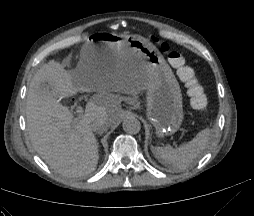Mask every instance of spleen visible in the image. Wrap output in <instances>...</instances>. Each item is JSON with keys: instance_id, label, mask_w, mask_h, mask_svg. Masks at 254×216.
<instances>
[{"instance_id": "3e777b00", "label": "spleen", "mask_w": 254, "mask_h": 216, "mask_svg": "<svg viewBox=\"0 0 254 216\" xmlns=\"http://www.w3.org/2000/svg\"><path fill=\"white\" fill-rule=\"evenodd\" d=\"M210 137L211 130L204 129L200 131L191 141L184 143L180 147H156L153 149V153L165 166L174 170H183L188 168L205 150Z\"/></svg>"}]
</instances>
